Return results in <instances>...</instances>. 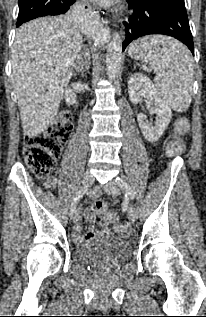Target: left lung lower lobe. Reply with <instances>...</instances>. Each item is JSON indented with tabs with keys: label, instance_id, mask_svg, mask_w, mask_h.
Returning <instances> with one entry per match:
<instances>
[{
	"label": "left lung lower lobe",
	"instance_id": "0a47b994",
	"mask_svg": "<svg viewBox=\"0 0 206 317\" xmlns=\"http://www.w3.org/2000/svg\"><path fill=\"white\" fill-rule=\"evenodd\" d=\"M133 9L127 22L123 50L134 39L149 34L172 36L194 54V44L184 3L175 0H127Z\"/></svg>",
	"mask_w": 206,
	"mask_h": 317
}]
</instances>
